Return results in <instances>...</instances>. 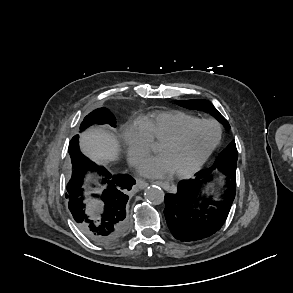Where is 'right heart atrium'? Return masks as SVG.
I'll return each mask as SVG.
<instances>
[{
    "mask_svg": "<svg viewBox=\"0 0 293 293\" xmlns=\"http://www.w3.org/2000/svg\"><path fill=\"white\" fill-rule=\"evenodd\" d=\"M122 138L128 160L133 165L139 164L152 149V141L140 123L125 127L122 132Z\"/></svg>",
    "mask_w": 293,
    "mask_h": 293,
    "instance_id": "right-heart-atrium-1",
    "label": "right heart atrium"
}]
</instances>
